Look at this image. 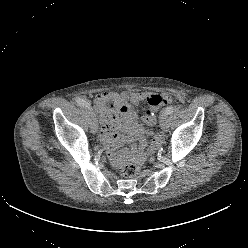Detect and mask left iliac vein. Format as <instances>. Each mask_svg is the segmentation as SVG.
I'll return each instance as SVG.
<instances>
[{
	"label": "left iliac vein",
	"instance_id": "1",
	"mask_svg": "<svg viewBox=\"0 0 248 248\" xmlns=\"http://www.w3.org/2000/svg\"><path fill=\"white\" fill-rule=\"evenodd\" d=\"M160 126L163 131H167L169 127L168 113L166 110L162 111L160 114Z\"/></svg>",
	"mask_w": 248,
	"mask_h": 248
}]
</instances>
